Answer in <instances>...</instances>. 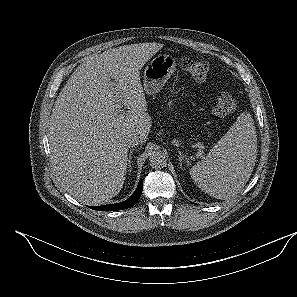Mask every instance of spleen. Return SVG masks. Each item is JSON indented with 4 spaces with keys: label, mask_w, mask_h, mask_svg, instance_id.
<instances>
[{
    "label": "spleen",
    "mask_w": 297,
    "mask_h": 297,
    "mask_svg": "<svg viewBox=\"0 0 297 297\" xmlns=\"http://www.w3.org/2000/svg\"><path fill=\"white\" fill-rule=\"evenodd\" d=\"M257 158V135L251 115L243 112L201 161L190 169L197 186L217 199H230L249 180Z\"/></svg>",
    "instance_id": "spleen-1"
}]
</instances>
